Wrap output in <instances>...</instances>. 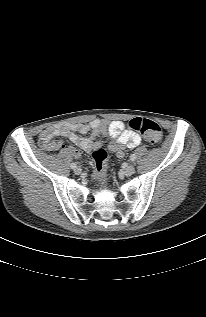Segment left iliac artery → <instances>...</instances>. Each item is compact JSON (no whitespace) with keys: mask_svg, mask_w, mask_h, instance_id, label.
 <instances>
[{"mask_svg":"<svg viewBox=\"0 0 206 317\" xmlns=\"http://www.w3.org/2000/svg\"><path fill=\"white\" fill-rule=\"evenodd\" d=\"M130 160H131V161H135V160H136V155H135V154H132V155L130 156Z\"/></svg>","mask_w":206,"mask_h":317,"instance_id":"1","label":"left iliac artery"}]
</instances>
